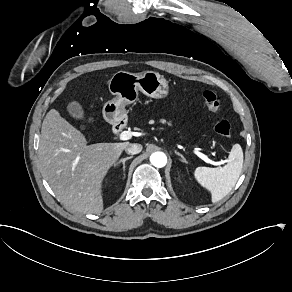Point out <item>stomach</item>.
<instances>
[{
  "label": "stomach",
  "mask_w": 292,
  "mask_h": 292,
  "mask_svg": "<svg viewBox=\"0 0 292 292\" xmlns=\"http://www.w3.org/2000/svg\"><path fill=\"white\" fill-rule=\"evenodd\" d=\"M109 90L116 98L105 103L103 116L109 123L126 117L125 105L136 101L138 91L154 99H165L169 94V83L158 72L145 71L132 74L117 72L109 81Z\"/></svg>",
  "instance_id": "obj_1"
}]
</instances>
